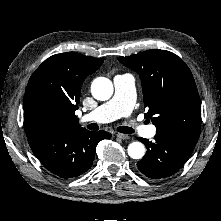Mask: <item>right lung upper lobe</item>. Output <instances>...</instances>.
<instances>
[{
	"label": "right lung upper lobe",
	"instance_id": "cb5924a9",
	"mask_svg": "<svg viewBox=\"0 0 221 221\" xmlns=\"http://www.w3.org/2000/svg\"><path fill=\"white\" fill-rule=\"evenodd\" d=\"M103 59L76 52L46 59L32 74L23 98L25 132L42 127L77 130L75 111L85 78Z\"/></svg>",
	"mask_w": 221,
	"mask_h": 221
}]
</instances>
